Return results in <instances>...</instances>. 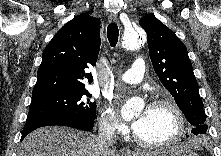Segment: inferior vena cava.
I'll list each match as a JSON object with an SVG mask.
<instances>
[{"label": "inferior vena cava", "mask_w": 221, "mask_h": 156, "mask_svg": "<svg viewBox=\"0 0 221 156\" xmlns=\"http://www.w3.org/2000/svg\"><path fill=\"white\" fill-rule=\"evenodd\" d=\"M115 132L112 125L107 124L97 137L98 146L102 150H108L115 142Z\"/></svg>", "instance_id": "obj_1"}]
</instances>
